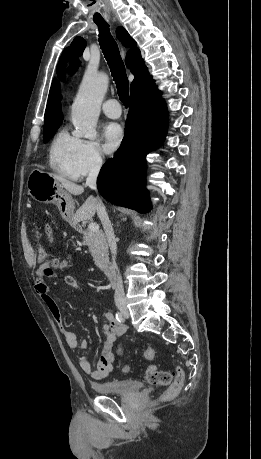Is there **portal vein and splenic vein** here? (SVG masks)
Segmentation results:
<instances>
[{"label":"portal vein and splenic vein","mask_w":261,"mask_h":459,"mask_svg":"<svg viewBox=\"0 0 261 459\" xmlns=\"http://www.w3.org/2000/svg\"><path fill=\"white\" fill-rule=\"evenodd\" d=\"M88 229L93 231V232H98L99 231V225L96 223H90L88 225Z\"/></svg>","instance_id":"18ae733b"}]
</instances>
